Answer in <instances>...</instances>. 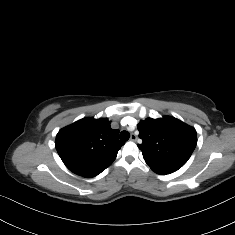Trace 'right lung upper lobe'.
Segmentation results:
<instances>
[{
	"mask_svg": "<svg viewBox=\"0 0 235 235\" xmlns=\"http://www.w3.org/2000/svg\"><path fill=\"white\" fill-rule=\"evenodd\" d=\"M107 118H83L62 128L55 141L56 150L73 173L91 178L112 164L124 145L118 130L110 127Z\"/></svg>",
	"mask_w": 235,
	"mask_h": 235,
	"instance_id": "obj_1",
	"label": "right lung upper lobe"
}]
</instances>
